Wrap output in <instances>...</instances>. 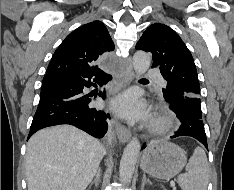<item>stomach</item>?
<instances>
[{"instance_id": "stomach-1", "label": "stomach", "mask_w": 234, "mask_h": 190, "mask_svg": "<svg viewBox=\"0 0 234 190\" xmlns=\"http://www.w3.org/2000/svg\"><path fill=\"white\" fill-rule=\"evenodd\" d=\"M186 164L183 149L169 141H157L150 144L141 157V169L159 179H171Z\"/></svg>"}]
</instances>
